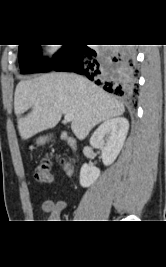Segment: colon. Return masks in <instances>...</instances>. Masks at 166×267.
Returning <instances> with one entry per match:
<instances>
[{
	"label": "colon",
	"mask_w": 166,
	"mask_h": 267,
	"mask_svg": "<svg viewBox=\"0 0 166 267\" xmlns=\"http://www.w3.org/2000/svg\"><path fill=\"white\" fill-rule=\"evenodd\" d=\"M58 160L63 165L64 169L68 172L71 171V164L64 158L58 157ZM52 158L43 157L41 158L35 166V178L41 183H49L52 180L51 172Z\"/></svg>",
	"instance_id": "5ec220e1"
}]
</instances>
